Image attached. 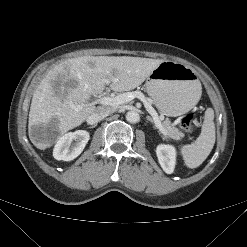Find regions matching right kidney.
Segmentation results:
<instances>
[{"label": "right kidney", "mask_w": 247, "mask_h": 247, "mask_svg": "<svg viewBox=\"0 0 247 247\" xmlns=\"http://www.w3.org/2000/svg\"><path fill=\"white\" fill-rule=\"evenodd\" d=\"M89 133L85 130L69 132L58 139L53 150L56 160L71 161L81 154L85 148Z\"/></svg>", "instance_id": "right-kidney-1"}]
</instances>
